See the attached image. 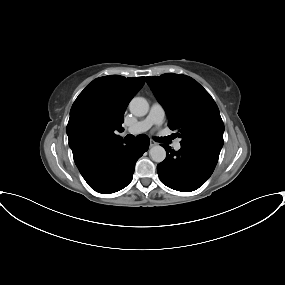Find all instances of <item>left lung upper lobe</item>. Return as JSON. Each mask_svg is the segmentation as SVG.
<instances>
[{"instance_id":"obj_1","label":"left lung upper lobe","mask_w":285,"mask_h":285,"mask_svg":"<svg viewBox=\"0 0 285 285\" xmlns=\"http://www.w3.org/2000/svg\"><path fill=\"white\" fill-rule=\"evenodd\" d=\"M168 116V126L178 130L181 145L220 153L224 124L210 94L194 79L173 73L146 78Z\"/></svg>"}]
</instances>
